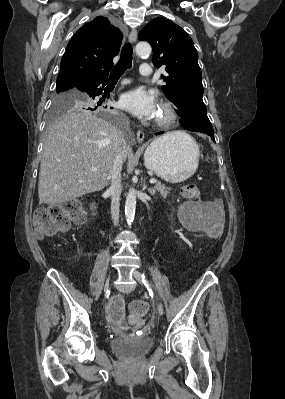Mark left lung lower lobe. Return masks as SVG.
<instances>
[{"label": "left lung lower lobe", "instance_id": "1", "mask_svg": "<svg viewBox=\"0 0 285 399\" xmlns=\"http://www.w3.org/2000/svg\"><path fill=\"white\" fill-rule=\"evenodd\" d=\"M162 133H163V132H159V133H157V134H162ZM210 137H211V139L215 142L214 135H211Z\"/></svg>", "mask_w": 285, "mask_h": 399}]
</instances>
